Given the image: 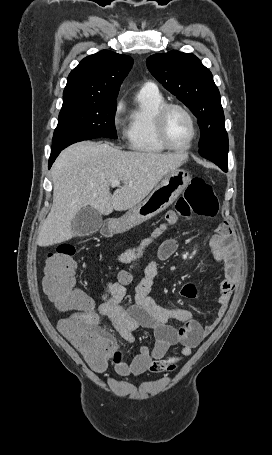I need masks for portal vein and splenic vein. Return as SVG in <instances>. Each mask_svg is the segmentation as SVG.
Returning a JSON list of instances; mask_svg holds the SVG:
<instances>
[{
  "label": "portal vein and splenic vein",
  "mask_w": 272,
  "mask_h": 455,
  "mask_svg": "<svg viewBox=\"0 0 272 455\" xmlns=\"http://www.w3.org/2000/svg\"><path fill=\"white\" fill-rule=\"evenodd\" d=\"M120 185V181L119 180H114L111 182V186L112 187H118Z\"/></svg>",
  "instance_id": "1"
}]
</instances>
